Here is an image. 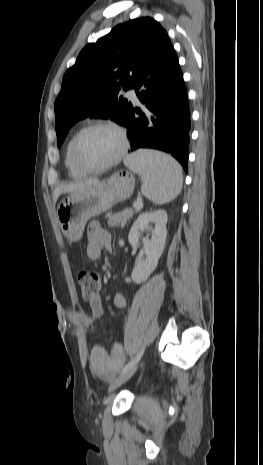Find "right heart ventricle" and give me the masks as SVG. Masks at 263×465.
<instances>
[{"label":"right heart ventricle","mask_w":263,"mask_h":465,"mask_svg":"<svg viewBox=\"0 0 263 465\" xmlns=\"http://www.w3.org/2000/svg\"><path fill=\"white\" fill-rule=\"evenodd\" d=\"M75 135L71 136L65 147L64 164L68 175L74 179L83 178L87 173L81 171L74 163L71 154L72 141Z\"/></svg>","instance_id":"e07e8e85"}]
</instances>
